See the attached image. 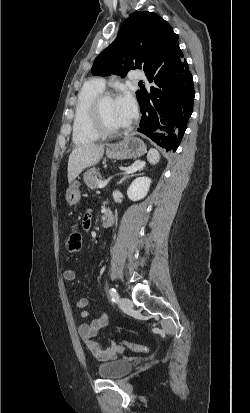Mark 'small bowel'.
Wrapping results in <instances>:
<instances>
[{
    "label": "small bowel",
    "mask_w": 250,
    "mask_h": 413,
    "mask_svg": "<svg viewBox=\"0 0 250 413\" xmlns=\"http://www.w3.org/2000/svg\"><path fill=\"white\" fill-rule=\"evenodd\" d=\"M84 229L83 232L87 233L88 228L90 227V218L89 216H85L84 218ZM63 276L68 281H73L77 277V273L75 270L68 269L65 270ZM88 305V300L84 297L78 298L75 301V307L80 309V316L81 318H88L90 312L86 309ZM108 324V317L105 313L100 312L96 318L91 320L88 323H82L78 327V334L82 341L84 342L86 348L90 351V353L100 361H107L116 358L118 354V347L112 341L111 344L107 347L102 348L96 341L95 337L97 336L98 332L104 328Z\"/></svg>",
    "instance_id": "small-bowel-1"
}]
</instances>
